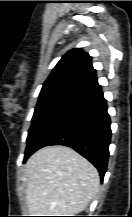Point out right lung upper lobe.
<instances>
[{
  "label": "right lung upper lobe",
  "instance_id": "1",
  "mask_svg": "<svg viewBox=\"0 0 132 217\" xmlns=\"http://www.w3.org/2000/svg\"><path fill=\"white\" fill-rule=\"evenodd\" d=\"M100 88L91 57L80 48L67 52L43 84L40 94L67 92L77 97Z\"/></svg>",
  "mask_w": 132,
  "mask_h": 217
}]
</instances>
